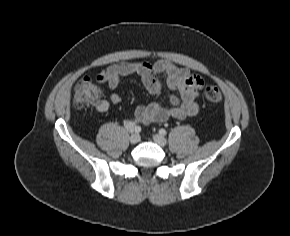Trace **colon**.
I'll use <instances>...</instances> for the list:
<instances>
[{
	"instance_id": "colon-1",
	"label": "colon",
	"mask_w": 290,
	"mask_h": 236,
	"mask_svg": "<svg viewBox=\"0 0 290 236\" xmlns=\"http://www.w3.org/2000/svg\"><path fill=\"white\" fill-rule=\"evenodd\" d=\"M98 82V78L93 80L86 77L76 83L74 87V105L77 108L93 106L97 102L101 94ZM203 93L205 99L211 103L220 102L223 98L220 89L213 85L205 87Z\"/></svg>"
}]
</instances>
